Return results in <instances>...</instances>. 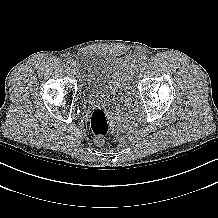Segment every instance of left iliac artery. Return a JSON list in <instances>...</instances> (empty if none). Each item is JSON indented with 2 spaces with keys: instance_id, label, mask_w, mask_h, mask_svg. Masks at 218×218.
<instances>
[{
  "instance_id": "44dca946",
  "label": "left iliac artery",
  "mask_w": 218,
  "mask_h": 218,
  "mask_svg": "<svg viewBox=\"0 0 218 218\" xmlns=\"http://www.w3.org/2000/svg\"><path fill=\"white\" fill-rule=\"evenodd\" d=\"M146 60H147V57H146V56H142V57L140 58V63H141L142 65H144V64L146 63Z\"/></svg>"
}]
</instances>
